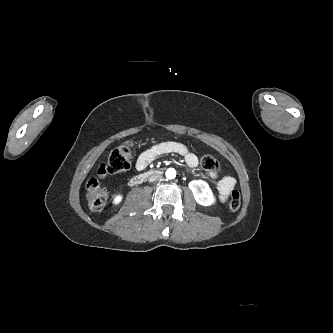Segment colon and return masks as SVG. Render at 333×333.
Masks as SVG:
<instances>
[{
	"label": "colon",
	"mask_w": 333,
	"mask_h": 333,
	"mask_svg": "<svg viewBox=\"0 0 333 333\" xmlns=\"http://www.w3.org/2000/svg\"><path fill=\"white\" fill-rule=\"evenodd\" d=\"M131 143H125L112 151L108 160L101 164L97 170V177L90 179L86 184V198L93 211H101L108 202V193L99 186L98 179L108 174H115L128 170L133 161ZM201 167L211 173L219 170L217 160L211 155L201 158ZM241 206V196L237 190L232 191L229 199L231 210H237Z\"/></svg>",
	"instance_id": "5ec220e1"
}]
</instances>
